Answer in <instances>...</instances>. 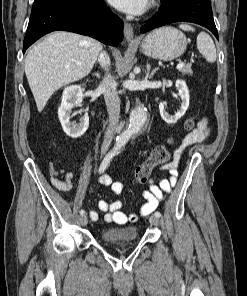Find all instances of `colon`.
<instances>
[{
	"mask_svg": "<svg viewBox=\"0 0 247 296\" xmlns=\"http://www.w3.org/2000/svg\"><path fill=\"white\" fill-rule=\"evenodd\" d=\"M193 127V121L189 120L185 123L186 130L190 131L193 129ZM173 145L174 139L171 138L166 144L156 146L151 152L150 156L136 168L134 173L135 182L138 184L146 183L152 170L169 160Z\"/></svg>",
	"mask_w": 247,
	"mask_h": 296,
	"instance_id": "5ec220e1",
	"label": "colon"
}]
</instances>
